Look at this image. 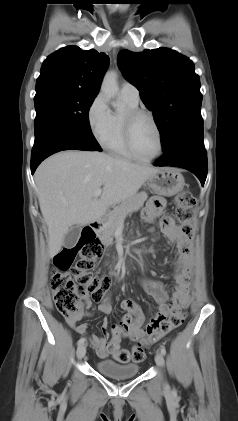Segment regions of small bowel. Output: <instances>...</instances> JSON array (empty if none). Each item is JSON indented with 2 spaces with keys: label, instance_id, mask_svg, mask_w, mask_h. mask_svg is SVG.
<instances>
[{
  "label": "small bowel",
  "instance_id": "obj_1",
  "mask_svg": "<svg viewBox=\"0 0 238 421\" xmlns=\"http://www.w3.org/2000/svg\"><path fill=\"white\" fill-rule=\"evenodd\" d=\"M165 201L161 197H155L148 201L144 211L143 219L145 222H151L164 209ZM162 231L167 238L168 244L174 245L176 273L174 275L175 287L170 302L167 292L163 285L154 280L143 279L141 281L144 290L153 296L158 310L149 323L143 327L144 315L140 311L138 304L131 298H126L121 302V307L127 314L120 323L112 326V334L108 332V321L104 318L100 324V335H91L90 343L98 356L105 358L114 355L116 349L120 348V341L123 337H128L133 341L151 336L159 331L161 324L166 320L171 310L185 309L190 304V281L192 275V245L190 240L185 237L176 227L173 219L167 217L162 220ZM87 308L90 312L85 315L91 316L94 311L100 314L108 315L112 311L109 303H101L96 308L92 306L90 300H87ZM83 314L76 318L67 319L68 324L79 334H87V324H78Z\"/></svg>",
  "mask_w": 238,
  "mask_h": 421
}]
</instances>
